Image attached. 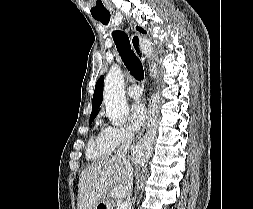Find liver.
Segmentation results:
<instances>
[{"instance_id": "1", "label": "liver", "mask_w": 253, "mask_h": 209, "mask_svg": "<svg viewBox=\"0 0 253 209\" xmlns=\"http://www.w3.org/2000/svg\"><path fill=\"white\" fill-rule=\"evenodd\" d=\"M128 175L126 163L115 156L89 165L79 178L78 209H95L99 202L107 198L109 191L112 196H129ZM116 187L121 188L117 195L114 194Z\"/></svg>"}]
</instances>
